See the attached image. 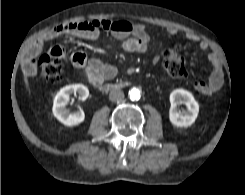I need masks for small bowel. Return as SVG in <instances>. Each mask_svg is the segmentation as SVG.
<instances>
[{
  "label": "small bowel",
  "instance_id": "1",
  "mask_svg": "<svg viewBox=\"0 0 245 195\" xmlns=\"http://www.w3.org/2000/svg\"><path fill=\"white\" fill-rule=\"evenodd\" d=\"M101 31L111 33L121 41V47L128 52L145 53L148 50L150 35L143 24H132L125 20L112 21L108 19L70 22L59 25L45 35L38 38L30 46L24 61V71L28 76H34L36 73L35 58L42 51L44 45L61 36H74L88 40H97ZM178 32L175 28H169L168 33L174 35ZM185 38L189 41L198 43L203 51L209 50L207 41L202 40L193 32H186ZM52 56L65 58V49L61 45H56L50 49ZM212 70L208 81H199L194 84L195 90L206 96L217 93L224 83V72L222 64L216 54L209 52L207 55ZM72 63L77 67L85 79L92 85L98 86L103 81L114 78L117 74V67L111 63H106L96 57L87 59L82 52H75L71 55ZM160 56L155 55L153 63L157 64Z\"/></svg>",
  "mask_w": 245,
  "mask_h": 195
}]
</instances>
